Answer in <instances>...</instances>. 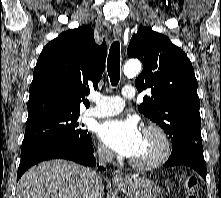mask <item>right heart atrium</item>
Here are the masks:
<instances>
[{"label":"right heart atrium","instance_id":"1","mask_svg":"<svg viewBox=\"0 0 221 198\" xmlns=\"http://www.w3.org/2000/svg\"><path fill=\"white\" fill-rule=\"evenodd\" d=\"M97 154L101 159L108 160L112 157L111 151L103 144H98Z\"/></svg>","mask_w":221,"mask_h":198}]
</instances>
